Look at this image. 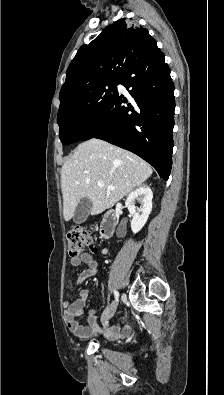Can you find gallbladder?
I'll use <instances>...</instances> for the list:
<instances>
[{
	"label": "gallbladder",
	"mask_w": 224,
	"mask_h": 395,
	"mask_svg": "<svg viewBox=\"0 0 224 395\" xmlns=\"http://www.w3.org/2000/svg\"><path fill=\"white\" fill-rule=\"evenodd\" d=\"M92 210V202L88 198H83L78 203L73 221L76 224H81L86 221Z\"/></svg>",
	"instance_id": "obj_1"
}]
</instances>
